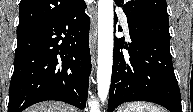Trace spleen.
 <instances>
[{
    "instance_id": "spleen-1",
    "label": "spleen",
    "mask_w": 193,
    "mask_h": 112,
    "mask_svg": "<svg viewBox=\"0 0 193 112\" xmlns=\"http://www.w3.org/2000/svg\"><path fill=\"white\" fill-rule=\"evenodd\" d=\"M124 112H163V109L145 102H131Z\"/></svg>"
}]
</instances>
